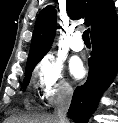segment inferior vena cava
<instances>
[{"label": "inferior vena cava", "instance_id": "obj_1", "mask_svg": "<svg viewBox=\"0 0 118 123\" xmlns=\"http://www.w3.org/2000/svg\"><path fill=\"white\" fill-rule=\"evenodd\" d=\"M73 89L70 85H62L59 88L57 104L54 109V117L58 120V123H69L66 114L70 106L72 99Z\"/></svg>", "mask_w": 118, "mask_h": 123}]
</instances>
